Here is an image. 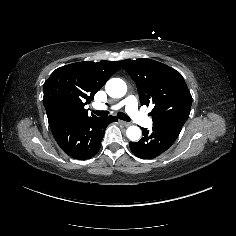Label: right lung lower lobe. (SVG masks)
I'll return each mask as SVG.
<instances>
[{
  "label": "right lung lower lobe",
  "instance_id": "right-lung-lower-lobe-1",
  "mask_svg": "<svg viewBox=\"0 0 236 236\" xmlns=\"http://www.w3.org/2000/svg\"><path fill=\"white\" fill-rule=\"evenodd\" d=\"M117 117H88L70 120L51 127L52 134L61 149L78 160L90 159L101 147L105 128Z\"/></svg>",
  "mask_w": 236,
  "mask_h": 236
}]
</instances>
